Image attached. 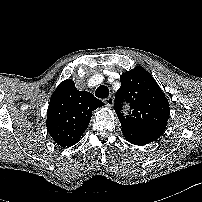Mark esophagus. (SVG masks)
Instances as JSON below:
<instances>
[{
	"mask_svg": "<svg viewBox=\"0 0 202 202\" xmlns=\"http://www.w3.org/2000/svg\"><path fill=\"white\" fill-rule=\"evenodd\" d=\"M104 102L106 103L107 106L112 107L114 104V98L113 96H109L108 98H106L104 100Z\"/></svg>",
	"mask_w": 202,
	"mask_h": 202,
	"instance_id": "obj_1",
	"label": "esophagus"
}]
</instances>
